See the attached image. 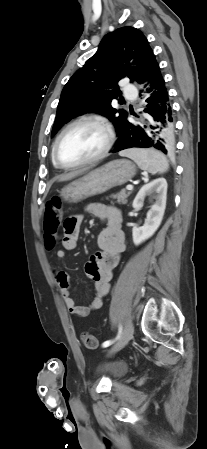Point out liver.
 Masks as SVG:
<instances>
[{
    "label": "liver",
    "instance_id": "liver-1",
    "mask_svg": "<svg viewBox=\"0 0 207 449\" xmlns=\"http://www.w3.org/2000/svg\"><path fill=\"white\" fill-rule=\"evenodd\" d=\"M83 172H84V170L70 172V173H67V174L57 177V180L59 182L68 181V180L75 178L78 175H81Z\"/></svg>",
    "mask_w": 207,
    "mask_h": 449
}]
</instances>
